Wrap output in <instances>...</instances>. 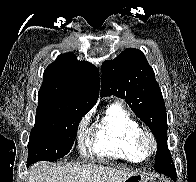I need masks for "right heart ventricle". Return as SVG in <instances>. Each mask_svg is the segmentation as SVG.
Returning <instances> with one entry per match:
<instances>
[{
	"instance_id": "right-heart-ventricle-1",
	"label": "right heart ventricle",
	"mask_w": 196,
	"mask_h": 182,
	"mask_svg": "<svg viewBox=\"0 0 196 182\" xmlns=\"http://www.w3.org/2000/svg\"><path fill=\"white\" fill-rule=\"evenodd\" d=\"M140 130L138 121L120 104L113 103L94 131L93 152L100 157L139 162L145 158L135 142Z\"/></svg>"
}]
</instances>
